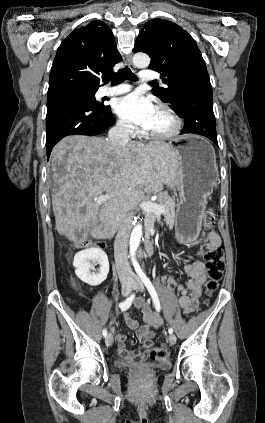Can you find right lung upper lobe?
<instances>
[{"mask_svg":"<svg viewBox=\"0 0 265 423\" xmlns=\"http://www.w3.org/2000/svg\"><path fill=\"white\" fill-rule=\"evenodd\" d=\"M122 60L112 31L102 21L75 29L60 45L52 64L47 95L76 89L96 90Z\"/></svg>","mask_w":265,"mask_h":423,"instance_id":"obj_1","label":"right lung upper lobe"}]
</instances>
